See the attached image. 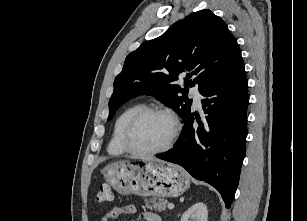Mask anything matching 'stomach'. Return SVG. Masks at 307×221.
Wrapping results in <instances>:
<instances>
[{
    "mask_svg": "<svg viewBox=\"0 0 307 221\" xmlns=\"http://www.w3.org/2000/svg\"><path fill=\"white\" fill-rule=\"evenodd\" d=\"M102 173L106 182L123 195L177 197L190 186L180 166L157 159L114 162Z\"/></svg>",
    "mask_w": 307,
    "mask_h": 221,
    "instance_id": "obj_1",
    "label": "stomach"
}]
</instances>
